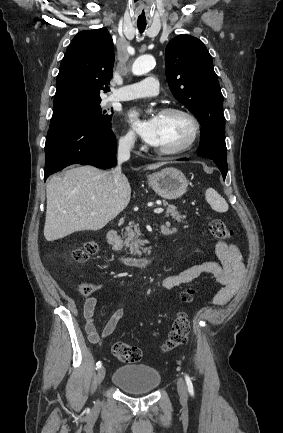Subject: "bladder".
Wrapping results in <instances>:
<instances>
[{
	"label": "bladder",
	"mask_w": 283,
	"mask_h": 433,
	"mask_svg": "<svg viewBox=\"0 0 283 433\" xmlns=\"http://www.w3.org/2000/svg\"><path fill=\"white\" fill-rule=\"evenodd\" d=\"M113 383L129 393H149L160 384V373L148 365L121 366L114 373Z\"/></svg>",
	"instance_id": "31cf9c89"
}]
</instances>
